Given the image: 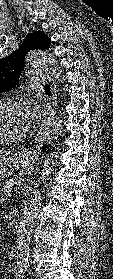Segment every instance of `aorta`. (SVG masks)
<instances>
[{
	"instance_id": "aorta-1",
	"label": "aorta",
	"mask_w": 113,
	"mask_h": 279,
	"mask_svg": "<svg viewBox=\"0 0 113 279\" xmlns=\"http://www.w3.org/2000/svg\"><path fill=\"white\" fill-rule=\"evenodd\" d=\"M26 62L33 68L41 69L52 74L56 79H59L61 76V71L57 63L45 50H31L26 56ZM62 124L63 119L61 117H52L47 120L40 132L41 141L51 144L57 140L62 132ZM40 200L39 192H33L18 227L16 238V266L20 269L29 267V244L33 227L38 219L41 207Z\"/></svg>"
}]
</instances>
